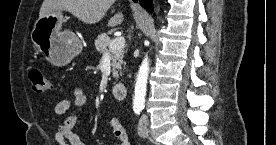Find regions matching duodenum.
I'll list each match as a JSON object with an SVG mask.
<instances>
[{
    "label": "duodenum",
    "instance_id": "obj_1",
    "mask_svg": "<svg viewBox=\"0 0 276 145\" xmlns=\"http://www.w3.org/2000/svg\"><path fill=\"white\" fill-rule=\"evenodd\" d=\"M112 93L115 99L124 100L127 97V85L124 82H117L112 87Z\"/></svg>",
    "mask_w": 276,
    "mask_h": 145
}]
</instances>
